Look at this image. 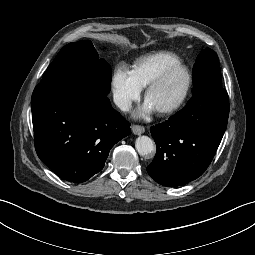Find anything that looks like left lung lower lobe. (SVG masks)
I'll return each instance as SVG.
<instances>
[{"label": "left lung lower lobe", "instance_id": "obj_1", "mask_svg": "<svg viewBox=\"0 0 255 255\" xmlns=\"http://www.w3.org/2000/svg\"><path fill=\"white\" fill-rule=\"evenodd\" d=\"M229 98L222 85L209 82L175 116L150 128L156 155L147 167L163 186H183L201 176L227 127Z\"/></svg>", "mask_w": 255, "mask_h": 255}]
</instances>
